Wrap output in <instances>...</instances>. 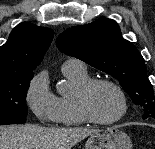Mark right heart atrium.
<instances>
[{"label":"right heart atrium","instance_id":"d8ad5b80","mask_svg":"<svg viewBox=\"0 0 155 149\" xmlns=\"http://www.w3.org/2000/svg\"><path fill=\"white\" fill-rule=\"evenodd\" d=\"M26 103L39 121L45 123L56 121L57 97L49 88L45 71L30 81L26 91Z\"/></svg>","mask_w":155,"mask_h":149}]
</instances>
